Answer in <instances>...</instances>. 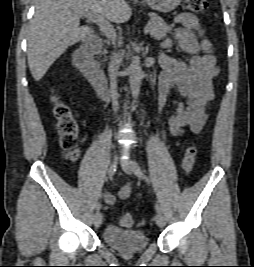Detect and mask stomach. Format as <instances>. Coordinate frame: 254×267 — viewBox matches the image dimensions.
<instances>
[{
	"label": "stomach",
	"instance_id": "obj_1",
	"mask_svg": "<svg viewBox=\"0 0 254 267\" xmlns=\"http://www.w3.org/2000/svg\"><path fill=\"white\" fill-rule=\"evenodd\" d=\"M143 2L155 11L167 13L180 5L182 0H144Z\"/></svg>",
	"mask_w": 254,
	"mask_h": 267
}]
</instances>
